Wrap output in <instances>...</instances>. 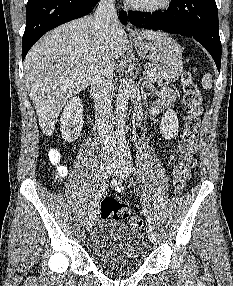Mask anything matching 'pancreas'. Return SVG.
<instances>
[{
  "mask_svg": "<svg viewBox=\"0 0 233 286\" xmlns=\"http://www.w3.org/2000/svg\"><path fill=\"white\" fill-rule=\"evenodd\" d=\"M149 72L152 75H147L145 79L151 83H158L162 85L164 81L175 82L180 76L181 70L178 68L161 67L158 65H151Z\"/></svg>",
  "mask_w": 233,
  "mask_h": 286,
  "instance_id": "cf45deb5",
  "label": "pancreas"
}]
</instances>
